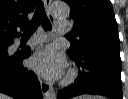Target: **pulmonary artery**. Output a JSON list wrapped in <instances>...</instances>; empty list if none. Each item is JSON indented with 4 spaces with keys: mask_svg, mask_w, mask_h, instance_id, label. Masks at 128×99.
<instances>
[{
    "mask_svg": "<svg viewBox=\"0 0 128 99\" xmlns=\"http://www.w3.org/2000/svg\"><path fill=\"white\" fill-rule=\"evenodd\" d=\"M70 27H71V25L69 22H64V21H56L55 22V30L57 32H66V31L70 30ZM45 40H46V35L38 34V35H35L34 37H32L29 40L28 44H38Z\"/></svg>",
    "mask_w": 128,
    "mask_h": 99,
    "instance_id": "1",
    "label": "pulmonary artery"
}]
</instances>
